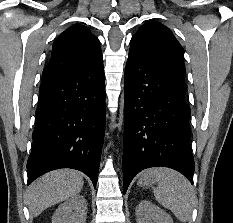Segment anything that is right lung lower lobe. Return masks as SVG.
<instances>
[{"mask_svg":"<svg viewBox=\"0 0 233 223\" xmlns=\"http://www.w3.org/2000/svg\"><path fill=\"white\" fill-rule=\"evenodd\" d=\"M104 79L102 65L42 81L27 162L28 185L48 171L73 168L96 186L105 133Z\"/></svg>","mask_w":233,"mask_h":223,"instance_id":"right-lung-lower-lobe-1","label":"right lung lower lobe"}]
</instances>
